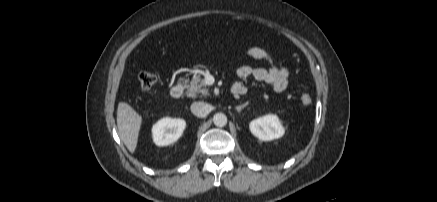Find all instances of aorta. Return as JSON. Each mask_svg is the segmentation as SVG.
I'll list each match as a JSON object with an SVG mask.
<instances>
[{
    "label": "aorta",
    "instance_id": "762f6f07",
    "mask_svg": "<svg viewBox=\"0 0 437 202\" xmlns=\"http://www.w3.org/2000/svg\"><path fill=\"white\" fill-rule=\"evenodd\" d=\"M213 123L217 127H224L227 124V117L223 113H216L213 116Z\"/></svg>",
    "mask_w": 437,
    "mask_h": 202
}]
</instances>
